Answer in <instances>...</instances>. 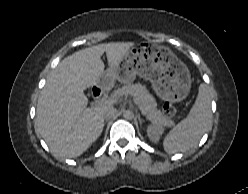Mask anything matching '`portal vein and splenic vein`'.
<instances>
[{"mask_svg":"<svg viewBox=\"0 0 248 194\" xmlns=\"http://www.w3.org/2000/svg\"><path fill=\"white\" fill-rule=\"evenodd\" d=\"M114 101H116V98H114V97H108L106 99H101V100L96 101V104L97 105H103V104L114 102ZM135 103L138 105V102L136 100H135Z\"/></svg>","mask_w":248,"mask_h":194,"instance_id":"portal-vein-and-splenic-vein-1","label":"portal vein and splenic vein"}]
</instances>
